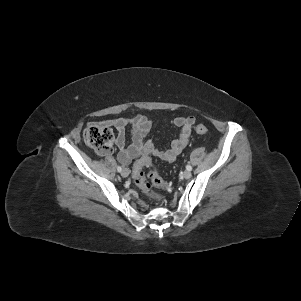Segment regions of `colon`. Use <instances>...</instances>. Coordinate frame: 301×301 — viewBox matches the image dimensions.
<instances>
[{
	"mask_svg": "<svg viewBox=\"0 0 301 301\" xmlns=\"http://www.w3.org/2000/svg\"><path fill=\"white\" fill-rule=\"evenodd\" d=\"M196 133L206 135L208 128L202 124L195 127ZM85 142L94 148L100 155H108L112 151L113 134L111 130L102 123H91L83 132ZM150 167L148 179L144 173V168ZM133 180L135 184L149 197L156 200L160 196L152 190V187L166 189L169 185L161 178L156 167L153 164L150 155H145L138 159L133 165Z\"/></svg>",
	"mask_w": 301,
	"mask_h": 301,
	"instance_id": "colon-1",
	"label": "colon"
}]
</instances>
